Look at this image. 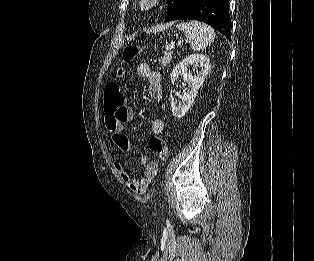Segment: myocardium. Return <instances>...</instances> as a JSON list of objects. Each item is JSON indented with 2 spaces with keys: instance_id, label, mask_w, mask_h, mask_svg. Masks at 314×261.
Listing matches in <instances>:
<instances>
[{
  "instance_id": "obj_1",
  "label": "myocardium",
  "mask_w": 314,
  "mask_h": 261,
  "mask_svg": "<svg viewBox=\"0 0 314 261\" xmlns=\"http://www.w3.org/2000/svg\"><path fill=\"white\" fill-rule=\"evenodd\" d=\"M164 0H138V8L142 12H152L162 7Z\"/></svg>"
}]
</instances>
